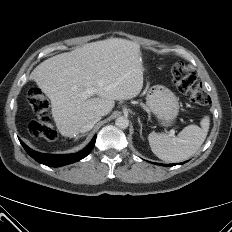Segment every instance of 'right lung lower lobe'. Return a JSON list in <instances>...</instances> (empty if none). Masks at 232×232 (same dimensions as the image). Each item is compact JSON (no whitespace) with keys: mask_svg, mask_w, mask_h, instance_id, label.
Wrapping results in <instances>:
<instances>
[{"mask_svg":"<svg viewBox=\"0 0 232 232\" xmlns=\"http://www.w3.org/2000/svg\"><path fill=\"white\" fill-rule=\"evenodd\" d=\"M20 140V139H19ZM96 141V136L92 139L90 144L86 147L85 150L76 153V154H68V155H52V154H44L36 152L30 149L23 141L20 140L22 146L26 150V152L36 161L41 164L50 166V167H59L67 164L74 163L76 161L81 160L82 158L86 157L94 147Z\"/></svg>","mask_w":232,"mask_h":232,"instance_id":"98d812e1","label":"right lung lower lobe"}]
</instances>
